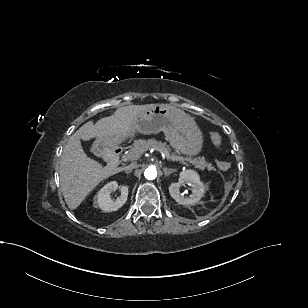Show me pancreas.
Returning a JSON list of instances; mask_svg holds the SVG:
<instances>
[{
    "label": "pancreas",
    "instance_id": "obj_1",
    "mask_svg": "<svg viewBox=\"0 0 308 308\" xmlns=\"http://www.w3.org/2000/svg\"><path fill=\"white\" fill-rule=\"evenodd\" d=\"M152 148L160 152H163L164 154L170 155V148L167 146L166 143H162L155 139H149V140L139 139V140L134 141L133 146L130 147L129 152L123 157V160L124 161L137 160L144 151L148 149H152ZM174 157L191 162L193 165H195L197 168L201 170H204L205 168H207L208 170L213 169L211 164L205 161L204 158L199 157V158L191 159V158H183L181 156H174Z\"/></svg>",
    "mask_w": 308,
    "mask_h": 308
}]
</instances>
